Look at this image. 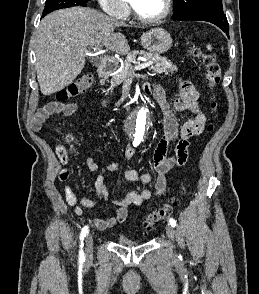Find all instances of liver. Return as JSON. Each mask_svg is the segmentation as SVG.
<instances>
[{
  "label": "liver",
  "instance_id": "liver-1",
  "mask_svg": "<svg viewBox=\"0 0 259 294\" xmlns=\"http://www.w3.org/2000/svg\"><path fill=\"white\" fill-rule=\"evenodd\" d=\"M123 23L84 7L57 10L47 15L35 35L36 71L43 95L70 85L85 66L88 46H105L120 55L130 46L120 32Z\"/></svg>",
  "mask_w": 259,
  "mask_h": 294
}]
</instances>
